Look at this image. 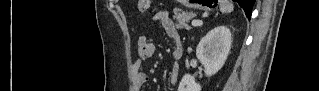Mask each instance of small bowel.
<instances>
[{"label":"small bowel","mask_w":319,"mask_h":91,"mask_svg":"<svg viewBox=\"0 0 319 91\" xmlns=\"http://www.w3.org/2000/svg\"><path fill=\"white\" fill-rule=\"evenodd\" d=\"M152 19L159 22L167 36L174 41L172 57L175 60L179 59L182 55V44L178 31L170 18L169 13L167 11H159L153 15ZM137 48L139 59L132 65V74L134 88L135 90H140L149 81L148 75L143 70L144 62L155 55L156 46L154 43L149 41L147 37L141 36L138 39ZM179 73V66L177 63H174L169 71V79L172 84H176L178 82Z\"/></svg>","instance_id":"obj_1"}]
</instances>
